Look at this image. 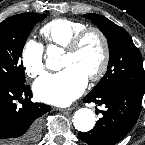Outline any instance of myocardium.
<instances>
[{"label": "myocardium", "instance_id": "obj_1", "mask_svg": "<svg viewBox=\"0 0 145 145\" xmlns=\"http://www.w3.org/2000/svg\"><path fill=\"white\" fill-rule=\"evenodd\" d=\"M96 35L102 46V60L98 70L90 75L87 79L91 82L100 81L106 74L110 63V45L106 35L97 27H86L79 31L67 44L65 51L68 53H75L81 47L83 41L87 36Z\"/></svg>", "mask_w": 145, "mask_h": 145}]
</instances>
